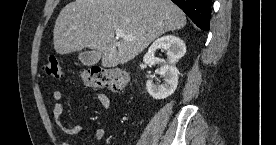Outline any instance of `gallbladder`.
<instances>
[{"label": "gallbladder", "instance_id": "1", "mask_svg": "<svg viewBox=\"0 0 276 145\" xmlns=\"http://www.w3.org/2000/svg\"><path fill=\"white\" fill-rule=\"evenodd\" d=\"M80 62L85 66H92L98 63L101 58L100 52L94 51H84L78 56Z\"/></svg>", "mask_w": 276, "mask_h": 145}]
</instances>
